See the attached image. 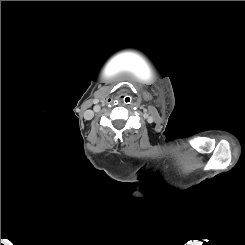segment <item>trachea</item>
<instances>
[{
    "mask_svg": "<svg viewBox=\"0 0 245 245\" xmlns=\"http://www.w3.org/2000/svg\"><path fill=\"white\" fill-rule=\"evenodd\" d=\"M122 101H123L124 104H130L132 99H131L130 96H126V97L123 98Z\"/></svg>",
    "mask_w": 245,
    "mask_h": 245,
    "instance_id": "obj_1",
    "label": "trachea"
}]
</instances>
